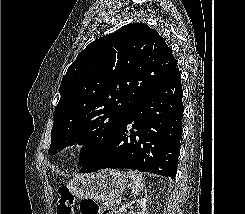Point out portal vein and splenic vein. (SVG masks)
<instances>
[{
  "instance_id": "portal-vein-and-splenic-vein-1",
  "label": "portal vein and splenic vein",
  "mask_w": 245,
  "mask_h": 214,
  "mask_svg": "<svg viewBox=\"0 0 245 214\" xmlns=\"http://www.w3.org/2000/svg\"><path fill=\"white\" fill-rule=\"evenodd\" d=\"M120 203H121V199L116 200L117 205H120Z\"/></svg>"
}]
</instances>
